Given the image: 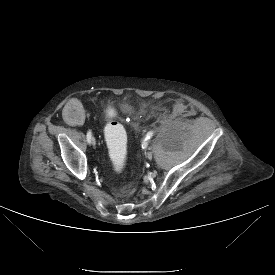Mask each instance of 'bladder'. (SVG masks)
<instances>
[{
	"instance_id": "31cf9c89",
	"label": "bladder",
	"mask_w": 275,
	"mask_h": 275,
	"mask_svg": "<svg viewBox=\"0 0 275 275\" xmlns=\"http://www.w3.org/2000/svg\"><path fill=\"white\" fill-rule=\"evenodd\" d=\"M124 105H127V106H129V107L134 108V105H133L132 103H130V102H128V101H125V102H123L122 104H120V109H121V107L124 106Z\"/></svg>"
}]
</instances>
